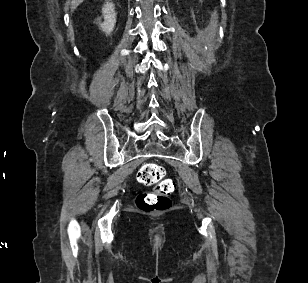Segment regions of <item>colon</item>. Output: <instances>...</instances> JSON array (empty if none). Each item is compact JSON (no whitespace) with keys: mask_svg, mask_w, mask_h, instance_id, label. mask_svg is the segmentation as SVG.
Masks as SVG:
<instances>
[{"mask_svg":"<svg viewBox=\"0 0 308 283\" xmlns=\"http://www.w3.org/2000/svg\"><path fill=\"white\" fill-rule=\"evenodd\" d=\"M137 181L144 186H154L151 193L139 195L136 205L145 212H155L167 209L170 195L175 189L173 180L165 177V170L155 163H146L140 167L136 175Z\"/></svg>","mask_w":308,"mask_h":283,"instance_id":"obj_1","label":"colon"}]
</instances>
